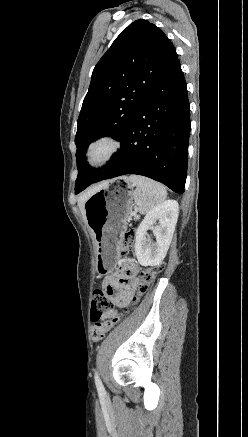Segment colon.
Listing matches in <instances>:
<instances>
[{
  "mask_svg": "<svg viewBox=\"0 0 248 437\" xmlns=\"http://www.w3.org/2000/svg\"><path fill=\"white\" fill-rule=\"evenodd\" d=\"M135 234L133 231L126 232L121 240V251L125 254L134 246ZM164 269V264H158L153 267L145 268L140 272V280L138 284L137 293L134 295L132 301L136 302L150 287L156 276ZM113 309V304L103 289H96L93 292L90 317L94 323L92 329V339L100 341L105 334L116 325L121 315H112L107 318Z\"/></svg>",
  "mask_w": 248,
  "mask_h": 437,
  "instance_id": "5ec220e1",
  "label": "colon"
}]
</instances>
